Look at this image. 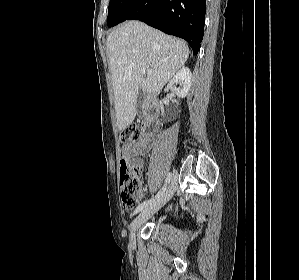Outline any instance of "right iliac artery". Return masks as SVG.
Wrapping results in <instances>:
<instances>
[{
  "instance_id": "1",
  "label": "right iliac artery",
  "mask_w": 299,
  "mask_h": 280,
  "mask_svg": "<svg viewBox=\"0 0 299 280\" xmlns=\"http://www.w3.org/2000/svg\"><path fill=\"white\" fill-rule=\"evenodd\" d=\"M172 180V173H168L166 176V180H165V185L164 187H162L160 189V191L157 193V195L147 201H144L143 203H141L134 211V214H137L138 212L142 211L144 208H146L149 204H151L153 201H155V199H157L158 197H160L165 191H166V187L167 185L170 183V181Z\"/></svg>"
}]
</instances>
